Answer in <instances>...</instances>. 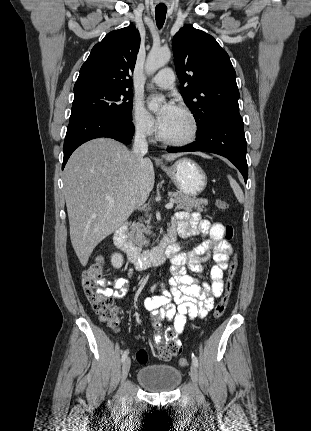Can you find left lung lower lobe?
I'll list each match as a JSON object with an SVG mask.
<instances>
[{"label":"left lung lower lobe","mask_w":311,"mask_h":431,"mask_svg":"<svg viewBox=\"0 0 311 431\" xmlns=\"http://www.w3.org/2000/svg\"><path fill=\"white\" fill-rule=\"evenodd\" d=\"M246 149L242 117L240 114H228L214 120L207 128L197 133L196 142L184 147L168 148L167 151L170 153L207 151L219 154L229 159L247 182Z\"/></svg>","instance_id":"obj_1"}]
</instances>
